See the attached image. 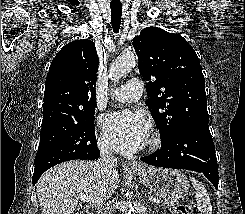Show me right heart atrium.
<instances>
[{"mask_svg":"<svg viewBox=\"0 0 245 214\" xmlns=\"http://www.w3.org/2000/svg\"><path fill=\"white\" fill-rule=\"evenodd\" d=\"M98 145L103 153H109V148L102 137L98 138Z\"/></svg>","mask_w":245,"mask_h":214,"instance_id":"obj_1","label":"right heart atrium"}]
</instances>
